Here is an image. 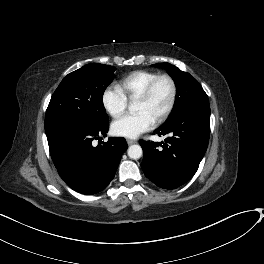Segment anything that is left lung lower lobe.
<instances>
[{
  "label": "left lung lower lobe",
  "mask_w": 264,
  "mask_h": 264,
  "mask_svg": "<svg viewBox=\"0 0 264 264\" xmlns=\"http://www.w3.org/2000/svg\"><path fill=\"white\" fill-rule=\"evenodd\" d=\"M170 135L164 142L140 141L142 170L147 178L164 189H175L196 173L210 136V107L188 109L163 124L154 134Z\"/></svg>",
  "instance_id": "obj_1"
}]
</instances>
